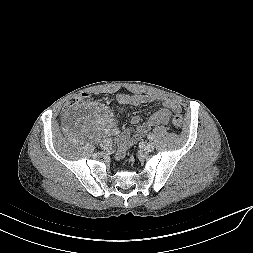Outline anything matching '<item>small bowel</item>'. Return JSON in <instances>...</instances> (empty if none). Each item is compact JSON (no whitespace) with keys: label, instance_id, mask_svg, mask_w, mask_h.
<instances>
[{"label":"small bowel","instance_id":"1","mask_svg":"<svg viewBox=\"0 0 253 253\" xmlns=\"http://www.w3.org/2000/svg\"><path fill=\"white\" fill-rule=\"evenodd\" d=\"M117 101L120 105H131V106H141L143 104L160 101L163 104V108L154 112L146 122L139 125L135 130L133 128H126L117 138L118 151L116 152V159H122L127 149L132 145L134 140L142 138L151 128L164 125L169 122V117L171 112L178 113L181 111V105L178 100L166 97L158 96L153 94H142V95H128V94H119L117 96ZM140 121L139 116L134 115L131 117V123L133 125L138 124ZM111 133V130H110ZM112 134V133H111ZM120 131L118 130L117 134L119 135Z\"/></svg>","mask_w":253,"mask_h":253}]
</instances>
